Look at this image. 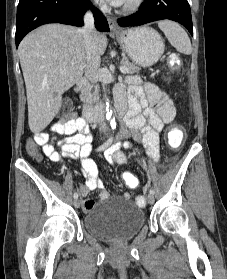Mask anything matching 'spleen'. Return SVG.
<instances>
[{
  "label": "spleen",
  "mask_w": 227,
  "mask_h": 279,
  "mask_svg": "<svg viewBox=\"0 0 227 279\" xmlns=\"http://www.w3.org/2000/svg\"><path fill=\"white\" fill-rule=\"evenodd\" d=\"M159 28L163 31L168 41L180 53L189 55L192 52L190 39L185 30L177 23L164 20L158 23Z\"/></svg>",
  "instance_id": "spleen-1"
}]
</instances>
